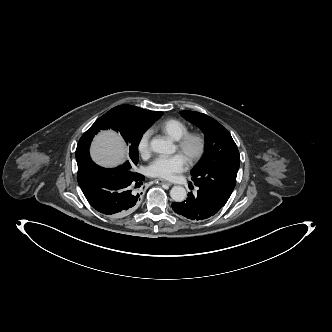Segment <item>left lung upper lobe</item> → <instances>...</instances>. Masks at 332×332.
<instances>
[{
  "label": "left lung upper lobe",
  "mask_w": 332,
  "mask_h": 332,
  "mask_svg": "<svg viewBox=\"0 0 332 332\" xmlns=\"http://www.w3.org/2000/svg\"><path fill=\"white\" fill-rule=\"evenodd\" d=\"M180 114L205 134L206 151L191 171L193 183L227 201L236 185L240 166L234 140L220 123L206 114L194 111H180Z\"/></svg>",
  "instance_id": "left-lung-upper-lobe-1"
}]
</instances>
